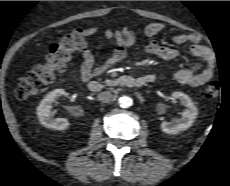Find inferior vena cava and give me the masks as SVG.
<instances>
[{
	"label": "inferior vena cava",
	"instance_id": "inferior-vena-cava-1",
	"mask_svg": "<svg viewBox=\"0 0 230 186\" xmlns=\"http://www.w3.org/2000/svg\"><path fill=\"white\" fill-rule=\"evenodd\" d=\"M111 99H112V94L109 91L100 92L98 94V100H100L104 103L110 102Z\"/></svg>",
	"mask_w": 230,
	"mask_h": 186
}]
</instances>
